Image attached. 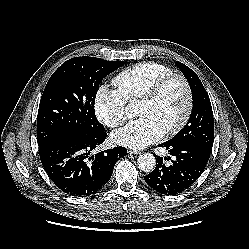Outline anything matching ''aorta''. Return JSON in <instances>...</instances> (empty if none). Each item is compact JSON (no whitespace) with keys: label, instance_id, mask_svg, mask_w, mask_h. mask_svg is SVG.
I'll list each match as a JSON object with an SVG mask.
<instances>
[{"label":"aorta","instance_id":"762f6f07","mask_svg":"<svg viewBox=\"0 0 249 249\" xmlns=\"http://www.w3.org/2000/svg\"><path fill=\"white\" fill-rule=\"evenodd\" d=\"M137 164L140 170L144 172H152L156 167V159L150 153H144L139 155Z\"/></svg>","mask_w":249,"mask_h":249}]
</instances>
